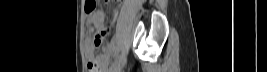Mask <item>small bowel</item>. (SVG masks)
<instances>
[{"instance_id": "1", "label": "small bowel", "mask_w": 267, "mask_h": 72, "mask_svg": "<svg viewBox=\"0 0 267 72\" xmlns=\"http://www.w3.org/2000/svg\"><path fill=\"white\" fill-rule=\"evenodd\" d=\"M104 14L101 11L96 12L88 18L87 22L92 25L97 31L102 32L104 36L109 33V29L104 27ZM86 56L89 60L90 65L95 64L94 72H104L109 65V55L112 51L110 44L104 47V54L95 56V43L94 41H87L85 43Z\"/></svg>"}]
</instances>
